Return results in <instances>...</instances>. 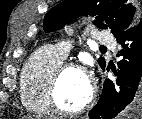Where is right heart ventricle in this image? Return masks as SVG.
<instances>
[{"label":"right heart ventricle","instance_id":"right-heart-ventricle-1","mask_svg":"<svg viewBox=\"0 0 142 119\" xmlns=\"http://www.w3.org/2000/svg\"><path fill=\"white\" fill-rule=\"evenodd\" d=\"M63 61L50 46L41 47L30 56L20 77V97L28 111L37 114L51 112L46 91L50 78Z\"/></svg>","mask_w":142,"mask_h":119}]
</instances>
